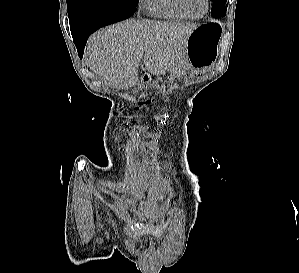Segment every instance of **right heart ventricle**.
<instances>
[{"mask_svg":"<svg viewBox=\"0 0 299 273\" xmlns=\"http://www.w3.org/2000/svg\"><path fill=\"white\" fill-rule=\"evenodd\" d=\"M146 7L150 15L157 18L172 21L188 19L177 0H146Z\"/></svg>","mask_w":299,"mask_h":273,"instance_id":"e07e8e85","label":"right heart ventricle"}]
</instances>
